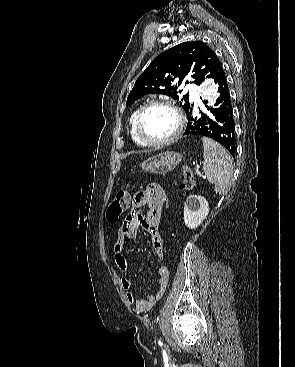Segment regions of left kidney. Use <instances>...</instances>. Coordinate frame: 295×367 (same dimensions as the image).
Masks as SVG:
<instances>
[{
  "instance_id": "1",
  "label": "left kidney",
  "mask_w": 295,
  "mask_h": 367,
  "mask_svg": "<svg viewBox=\"0 0 295 367\" xmlns=\"http://www.w3.org/2000/svg\"><path fill=\"white\" fill-rule=\"evenodd\" d=\"M209 213L208 201L199 195H191L184 205V223L190 229L197 228Z\"/></svg>"
}]
</instances>
